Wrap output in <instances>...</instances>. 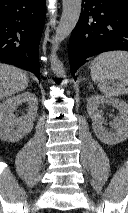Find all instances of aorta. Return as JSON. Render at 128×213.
I'll return each mask as SVG.
<instances>
[{
  "instance_id": "1",
  "label": "aorta",
  "mask_w": 128,
  "mask_h": 213,
  "mask_svg": "<svg viewBox=\"0 0 128 213\" xmlns=\"http://www.w3.org/2000/svg\"><path fill=\"white\" fill-rule=\"evenodd\" d=\"M81 4L82 0H62L63 11L56 29L55 44L51 48L50 55L51 69L57 76H65L63 64L56 55L58 44L67 38L75 28L80 17ZM66 83L64 82V84Z\"/></svg>"
}]
</instances>
